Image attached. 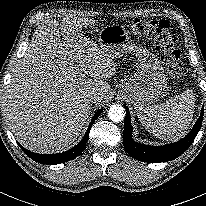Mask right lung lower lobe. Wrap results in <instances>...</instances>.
I'll return each mask as SVG.
<instances>
[{
	"label": "right lung lower lobe",
	"instance_id": "right-lung-lower-lobe-1",
	"mask_svg": "<svg viewBox=\"0 0 206 206\" xmlns=\"http://www.w3.org/2000/svg\"><path fill=\"white\" fill-rule=\"evenodd\" d=\"M103 111V109L98 110L92 120L91 123L87 129V132L85 133L83 139L72 149L63 152V153H57V154H37V153H33L27 149H25L24 147H22L21 145H19L21 147V149L25 152V154L27 156H29L32 160L41 163V164H60V163H64L67 162L77 156H79L87 143L88 140V136H89V132L90 129L94 123V121L99 117V115L101 114V112Z\"/></svg>",
	"mask_w": 206,
	"mask_h": 206
}]
</instances>
